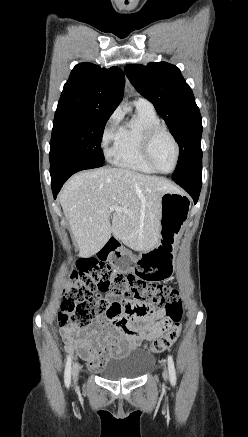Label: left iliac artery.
Here are the masks:
<instances>
[{
    "label": "left iliac artery",
    "instance_id": "left-iliac-artery-1",
    "mask_svg": "<svg viewBox=\"0 0 248 437\" xmlns=\"http://www.w3.org/2000/svg\"><path fill=\"white\" fill-rule=\"evenodd\" d=\"M168 369H169V376H170V382L172 385L176 384V371H175V366H174V362H173V358L171 355L168 356Z\"/></svg>",
    "mask_w": 248,
    "mask_h": 437
}]
</instances>
